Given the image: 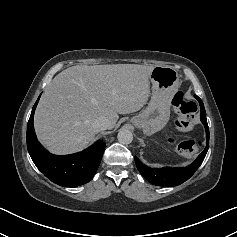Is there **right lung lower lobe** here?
<instances>
[{
	"mask_svg": "<svg viewBox=\"0 0 237 237\" xmlns=\"http://www.w3.org/2000/svg\"><path fill=\"white\" fill-rule=\"evenodd\" d=\"M39 98L27 125V148L34 164L48 179L60 186L76 187L89 182L99 167L105 144L98 141L82 152L65 156L49 153L38 142L33 127V116Z\"/></svg>",
	"mask_w": 237,
	"mask_h": 237,
	"instance_id": "1",
	"label": "right lung lower lobe"
}]
</instances>
